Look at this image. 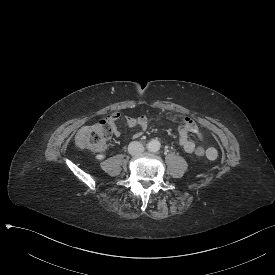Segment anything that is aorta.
<instances>
[{"mask_svg":"<svg viewBox=\"0 0 275 275\" xmlns=\"http://www.w3.org/2000/svg\"><path fill=\"white\" fill-rule=\"evenodd\" d=\"M147 147L150 152H157L161 147V143L160 141L153 139L148 143Z\"/></svg>","mask_w":275,"mask_h":275,"instance_id":"762f6f07","label":"aorta"}]
</instances>
